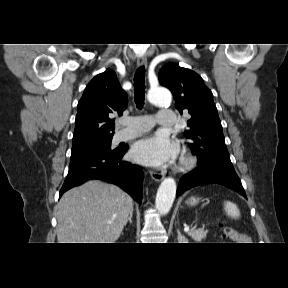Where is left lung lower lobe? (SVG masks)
Masks as SVG:
<instances>
[{
	"instance_id": "0a47b994",
	"label": "left lung lower lobe",
	"mask_w": 288,
	"mask_h": 288,
	"mask_svg": "<svg viewBox=\"0 0 288 288\" xmlns=\"http://www.w3.org/2000/svg\"><path fill=\"white\" fill-rule=\"evenodd\" d=\"M205 184H220L231 188L246 197L241 181L235 170L218 164H200L192 172L185 174L179 181L176 197L184 191Z\"/></svg>"
}]
</instances>
